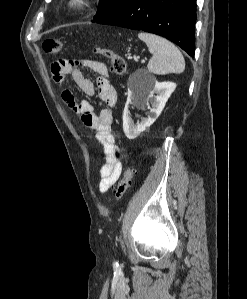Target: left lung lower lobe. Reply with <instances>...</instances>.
<instances>
[{
	"label": "left lung lower lobe",
	"mask_w": 247,
	"mask_h": 299,
	"mask_svg": "<svg viewBox=\"0 0 247 299\" xmlns=\"http://www.w3.org/2000/svg\"><path fill=\"white\" fill-rule=\"evenodd\" d=\"M195 22L196 0H123L96 23L163 36L193 57Z\"/></svg>",
	"instance_id": "1"
}]
</instances>
